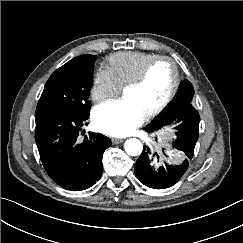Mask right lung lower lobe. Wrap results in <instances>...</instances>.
<instances>
[{
	"label": "right lung lower lobe",
	"instance_id": "1",
	"mask_svg": "<svg viewBox=\"0 0 243 243\" xmlns=\"http://www.w3.org/2000/svg\"><path fill=\"white\" fill-rule=\"evenodd\" d=\"M88 117L49 111L35 114L42 164L52 180L72 191L85 190L100 179L103 153L112 144L108 137L92 132L80 143L79 131Z\"/></svg>",
	"mask_w": 243,
	"mask_h": 243
}]
</instances>
